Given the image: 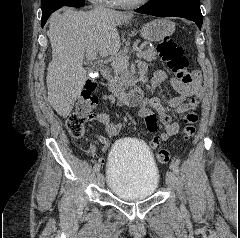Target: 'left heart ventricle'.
I'll use <instances>...</instances> for the list:
<instances>
[{
  "instance_id": "left-heart-ventricle-1",
  "label": "left heart ventricle",
  "mask_w": 240,
  "mask_h": 238,
  "mask_svg": "<svg viewBox=\"0 0 240 238\" xmlns=\"http://www.w3.org/2000/svg\"><path fill=\"white\" fill-rule=\"evenodd\" d=\"M123 1H136V0H123Z\"/></svg>"
}]
</instances>
